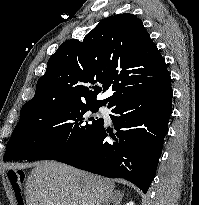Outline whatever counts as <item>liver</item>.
Listing matches in <instances>:
<instances>
[{"mask_svg":"<svg viewBox=\"0 0 199 205\" xmlns=\"http://www.w3.org/2000/svg\"><path fill=\"white\" fill-rule=\"evenodd\" d=\"M115 183L56 161L37 162L26 183L27 205H117Z\"/></svg>","mask_w":199,"mask_h":205,"instance_id":"6515ba94","label":"liver"}]
</instances>
